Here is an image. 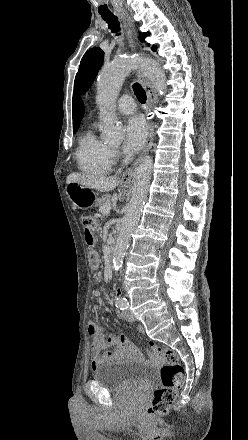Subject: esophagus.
<instances>
[{
  "mask_svg": "<svg viewBox=\"0 0 248 440\" xmlns=\"http://www.w3.org/2000/svg\"><path fill=\"white\" fill-rule=\"evenodd\" d=\"M121 17L123 18L124 24L127 28V37H128L129 47L132 52H135L137 49V45L135 42L136 35H135L134 21H133L132 17L128 14L127 11H122ZM137 76H138V79H139L141 85L143 86V88L145 89V91L147 93V96H148L147 110L150 112L156 103V95L154 93L152 83L141 73L140 70H137ZM153 136H154L153 122L151 120H149L148 137H147L145 146H144L141 154L139 155V157L132 164V166L130 168H128L123 173V175H122L123 180H129L132 178V176L134 175L135 169L138 166V164L140 163L141 159L148 153V151L151 147L152 141H153Z\"/></svg>",
  "mask_w": 248,
  "mask_h": 440,
  "instance_id": "34e87169",
  "label": "esophagus"
}]
</instances>
